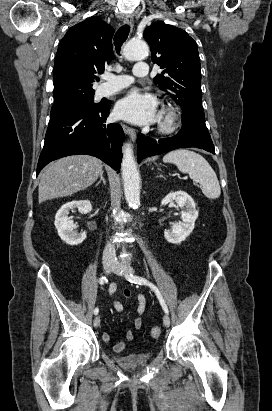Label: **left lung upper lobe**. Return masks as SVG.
Returning <instances> with one entry per match:
<instances>
[{
	"label": "left lung upper lobe",
	"mask_w": 272,
	"mask_h": 411,
	"mask_svg": "<svg viewBox=\"0 0 272 411\" xmlns=\"http://www.w3.org/2000/svg\"><path fill=\"white\" fill-rule=\"evenodd\" d=\"M144 38L151 48L152 61L163 70L154 83L171 92L182 108L183 123H205L196 42L184 30L164 22L147 27Z\"/></svg>",
	"instance_id": "left-lung-upper-lobe-1"
}]
</instances>
